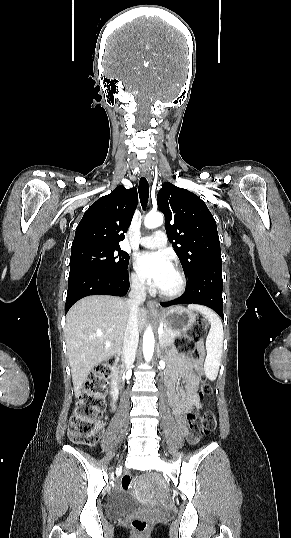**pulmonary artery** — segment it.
Listing matches in <instances>:
<instances>
[{
	"label": "pulmonary artery",
	"instance_id": "obj_1",
	"mask_svg": "<svg viewBox=\"0 0 291 538\" xmlns=\"http://www.w3.org/2000/svg\"><path fill=\"white\" fill-rule=\"evenodd\" d=\"M139 244L150 249L162 248L167 244V237L164 231L157 230L152 235L142 237Z\"/></svg>",
	"mask_w": 291,
	"mask_h": 538
}]
</instances>
